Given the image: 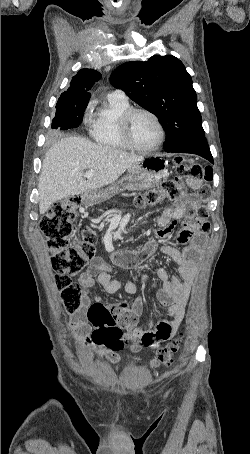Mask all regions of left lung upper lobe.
<instances>
[{
    "label": "left lung upper lobe",
    "mask_w": 250,
    "mask_h": 454,
    "mask_svg": "<svg viewBox=\"0 0 250 454\" xmlns=\"http://www.w3.org/2000/svg\"><path fill=\"white\" fill-rule=\"evenodd\" d=\"M111 84L156 115L166 132L165 151L204 136L192 79L172 55L131 61L117 67Z\"/></svg>",
    "instance_id": "1"
}]
</instances>
